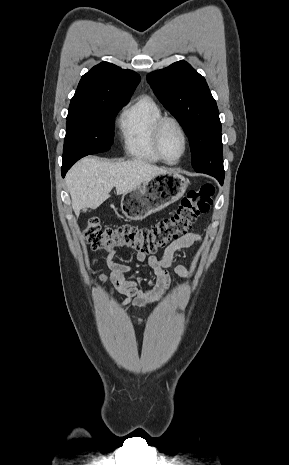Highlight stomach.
Masks as SVG:
<instances>
[{
  "label": "stomach",
  "instance_id": "stomach-1",
  "mask_svg": "<svg viewBox=\"0 0 289 465\" xmlns=\"http://www.w3.org/2000/svg\"><path fill=\"white\" fill-rule=\"evenodd\" d=\"M188 184V179L173 170L156 175L141 187L123 194L122 213L129 220H143L179 200Z\"/></svg>",
  "mask_w": 289,
  "mask_h": 465
}]
</instances>
